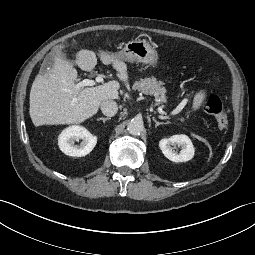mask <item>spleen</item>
Masks as SVG:
<instances>
[{"label": "spleen", "instance_id": "spleen-1", "mask_svg": "<svg viewBox=\"0 0 255 255\" xmlns=\"http://www.w3.org/2000/svg\"><path fill=\"white\" fill-rule=\"evenodd\" d=\"M203 98H204L203 92H199L195 95L194 100H193V105H192V108L194 110H197L200 107V105L203 101Z\"/></svg>", "mask_w": 255, "mask_h": 255}]
</instances>
